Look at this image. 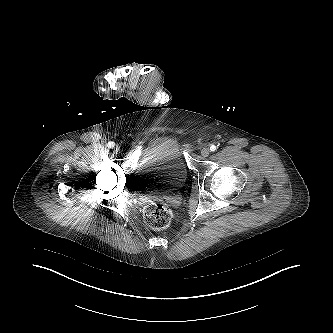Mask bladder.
<instances>
[{"label": "bladder", "instance_id": "bladder-1", "mask_svg": "<svg viewBox=\"0 0 333 333\" xmlns=\"http://www.w3.org/2000/svg\"><path fill=\"white\" fill-rule=\"evenodd\" d=\"M187 176L182 141L167 135L142 158L135 172L136 188L141 192L169 193L179 189Z\"/></svg>", "mask_w": 333, "mask_h": 333}]
</instances>
